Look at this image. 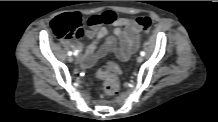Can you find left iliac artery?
<instances>
[{
    "instance_id": "obj_1",
    "label": "left iliac artery",
    "mask_w": 218,
    "mask_h": 122,
    "mask_svg": "<svg viewBox=\"0 0 218 122\" xmlns=\"http://www.w3.org/2000/svg\"><path fill=\"white\" fill-rule=\"evenodd\" d=\"M140 55H141V56H144V55H145V52H144V51H141V52H140Z\"/></svg>"
}]
</instances>
